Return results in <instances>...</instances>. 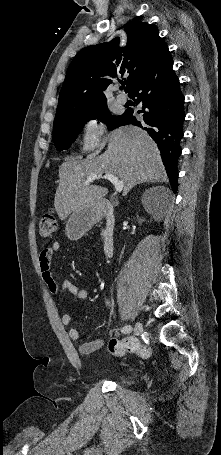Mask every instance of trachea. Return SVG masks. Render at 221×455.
<instances>
[{
	"label": "trachea",
	"mask_w": 221,
	"mask_h": 455,
	"mask_svg": "<svg viewBox=\"0 0 221 455\" xmlns=\"http://www.w3.org/2000/svg\"><path fill=\"white\" fill-rule=\"evenodd\" d=\"M124 88H125V86H124V84H123V85L120 87V89H124Z\"/></svg>",
	"instance_id": "obj_1"
}]
</instances>
